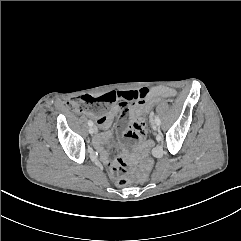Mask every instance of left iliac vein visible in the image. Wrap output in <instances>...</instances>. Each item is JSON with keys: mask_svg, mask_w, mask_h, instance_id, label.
Listing matches in <instances>:
<instances>
[{"mask_svg": "<svg viewBox=\"0 0 241 241\" xmlns=\"http://www.w3.org/2000/svg\"><path fill=\"white\" fill-rule=\"evenodd\" d=\"M152 128H153L154 130H157V124H156V122H153V123H152Z\"/></svg>", "mask_w": 241, "mask_h": 241, "instance_id": "obj_1", "label": "left iliac vein"}]
</instances>
